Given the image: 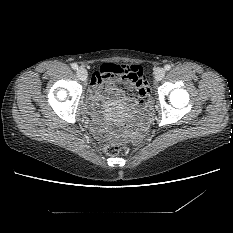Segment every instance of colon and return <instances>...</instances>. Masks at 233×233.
<instances>
[{"instance_id": "1", "label": "colon", "mask_w": 233, "mask_h": 233, "mask_svg": "<svg viewBox=\"0 0 233 233\" xmlns=\"http://www.w3.org/2000/svg\"><path fill=\"white\" fill-rule=\"evenodd\" d=\"M131 82L133 85L138 87V95L142 96L143 92H142V89L139 87V82L137 78H133ZM120 150H121V146L115 143H107L103 146L104 153L110 156L117 155L120 152Z\"/></svg>"}]
</instances>
